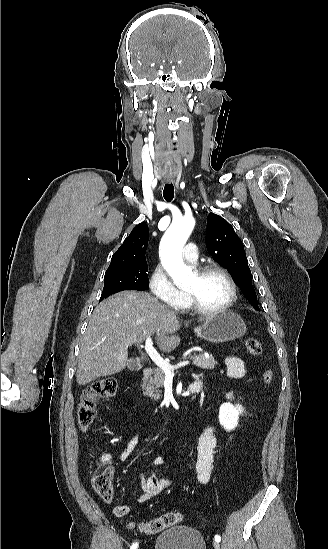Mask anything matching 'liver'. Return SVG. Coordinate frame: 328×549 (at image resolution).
<instances>
[{
	"label": "liver",
	"instance_id": "obj_1",
	"mask_svg": "<svg viewBox=\"0 0 328 549\" xmlns=\"http://www.w3.org/2000/svg\"><path fill=\"white\" fill-rule=\"evenodd\" d=\"M179 329L177 315L148 293L122 291L104 299L80 343L78 385L120 373L129 363L128 347L152 335L163 353H171L180 345V337L173 335Z\"/></svg>",
	"mask_w": 328,
	"mask_h": 549
}]
</instances>
